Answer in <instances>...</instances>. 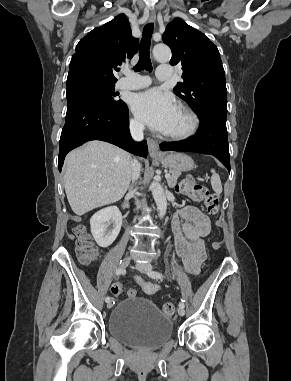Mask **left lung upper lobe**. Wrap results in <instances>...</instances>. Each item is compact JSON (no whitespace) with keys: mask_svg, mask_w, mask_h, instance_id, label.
<instances>
[{"mask_svg":"<svg viewBox=\"0 0 291 381\" xmlns=\"http://www.w3.org/2000/svg\"><path fill=\"white\" fill-rule=\"evenodd\" d=\"M172 50L171 65H182L183 82L174 93L186 101L199 118L227 115L225 72L217 47L205 34L180 18L166 27L162 36Z\"/></svg>","mask_w":291,"mask_h":381,"instance_id":"left-lung-upper-lobe-1","label":"left lung upper lobe"}]
</instances>
